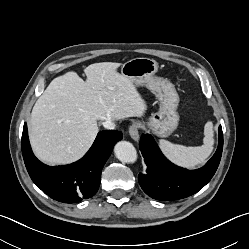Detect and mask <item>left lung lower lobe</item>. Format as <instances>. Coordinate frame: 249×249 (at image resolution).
I'll use <instances>...</instances> for the list:
<instances>
[{
    "mask_svg": "<svg viewBox=\"0 0 249 249\" xmlns=\"http://www.w3.org/2000/svg\"><path fill=\"white\" fill-rule=\"evenodd\" d=\"M139 146L147 165L146 174H139L138 177L144 192L162 201L182 199L202 189L216 172L223 149L222 127L219 126L216 153L205 166L197 170H187L172 164L149 134L141 137Z\"/></svg>",
    "mask_w": 249,
    "mask_h": 249,
    "instance_id": "0a47b994",
    "label": "left lung lower lobe"
}]
</instances>
